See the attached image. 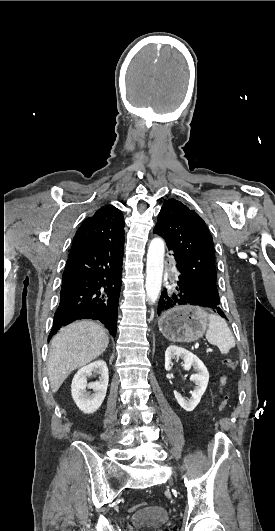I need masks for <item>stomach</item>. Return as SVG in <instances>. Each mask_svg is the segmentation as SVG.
I'll return each mask as SVG.
<instances>
[{"mask_svg": "<svg viewBox=\"0 0 275 531\" xmlns=\"http://www.w3.org/2000/svg\"><path fill=\"white\" fill-rule=\"evenodd\" d=\"M209 323L208 313L194 301H179L178 307L161 315L158 325L162 335L174 343H192L203 337Z\"/></svg>", "mask_w": 275, "mask_h": 531, "instance_id": "1", "label": "stomach"}]
</instances>
